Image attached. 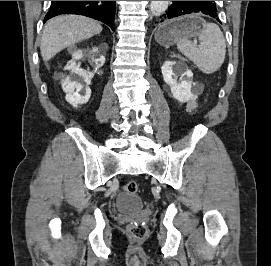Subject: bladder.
Wrapping results in <instances>:
<instances>
[{
    "instance_id": "31cf9c89",
    "label": "bladder",
    "mask_w": 271,
    "mask_h": 266,
    "mask_svg": "<svg viewBox=\"0 0 271 266\" xmlns=\"http://www.w3.org/2000/svg\"><path fill=\"white\" fill-rule=\"evenodd\" d=\"M142 206L140 197L126 192L120 194L115 201L116 210L126 214H133L139 211Z\"/></svg>"
}]
</instances>
